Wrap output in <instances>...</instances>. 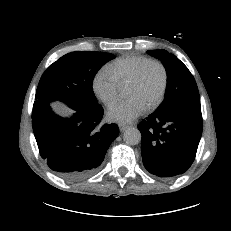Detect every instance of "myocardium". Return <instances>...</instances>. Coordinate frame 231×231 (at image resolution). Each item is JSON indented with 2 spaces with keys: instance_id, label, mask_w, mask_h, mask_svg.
Segmentation results:
<instances>
[{
  "instance_id": "1",
  "label": "myocardium",
  "mask_w": 231,
  "mask_h": 231,
  "mask_svg": "<svg viewBox=\"0 0 231 231\" xmlns=\"http://www.w3.org/2000/svg\"><path fill=\"white\" fill-rule=\"evenodd\" d=\"M152 64H156L161 68L162 74H163V82H162L161 90H160L157 98L150 105H148L146 107L147 110H149V111L156 109L162 103V101L165 97L167 87H168V81H169L168 70H167L165 64L158 59L148 60L147 62H145L144 64H142L139 67V69L135 73L134 77L131 79V81L129 82V84L127 86V87H134V86L138 85L140 83V81L142 80L146 69Z\"/></svg>"
}]
</instances>
